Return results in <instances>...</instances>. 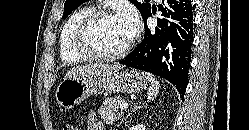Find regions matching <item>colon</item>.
Instances as JSON below:
<instances>
[{
    "label": "colon",
    "instance_id": "1",
    "mask_svg": "<svg viewBox=\"0 0 249 130\" xmlns=\"http://www.w3.org/2000/svg\"><path fill=\"white\" fill-rule=\"evenodd\" d=\"M61 130H79V128L76 127L73 123L65 122V123L62 125Z\"/></svg>",
    "mask_w": 249,
    "mask_h": 130
}]
</instances>
